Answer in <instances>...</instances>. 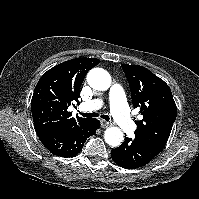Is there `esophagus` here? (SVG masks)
Listing matches in <instances>:
<instances>
[{
	"mask_svg": "<svg viewBox=\"0 0 199 199\" xmlns=\"http://www.w3.org/2000/svg\"><path fill=\"white\" fill-rule=\"evenodd\" d=\"M110 126V123L104 120H101V127L102 128H107Z\"/></svg>",
	"mask_w": 199,
	"mask_h": 199,
	"instance_id": "1",
	"label": "esophagus"
}]
</instances>
